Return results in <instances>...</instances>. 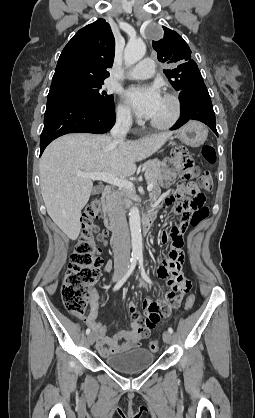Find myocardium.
Listing matches in <instances>:
<instances>
[{
	"label": "myocardium",
	"mask_w": 255,
	"mask_h": 418,
	"mask_svg": "<svg viewBox=\"0 0 255 418\" xmlns=\"http://www.w3.org/2000/svg\"><path fill=\"white\" fill-rule=\"evenodd\" d=\"M163 97H165L172 103L173 111L171 116L164 122H157L153 120L149 121V125L157 130H167L173 127L181 116V100L178 97V95H176L173 92H165Z\"/></svg>",
	"instance_id": "f54148a6"
}]
</instances>
